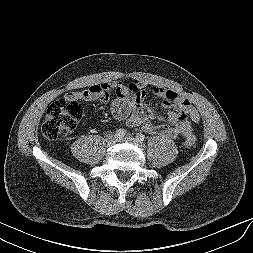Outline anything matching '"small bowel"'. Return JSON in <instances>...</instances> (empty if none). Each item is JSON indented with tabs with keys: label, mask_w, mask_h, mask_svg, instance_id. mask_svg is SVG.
Wrapping results in <instances>:
<instances>
[{
	"label": "small bowel",
	"mask_w": 253,
	"mask_h": 253,
	"mask_svg": "<svg viewBox=\"0 0 253 253\" xmlns=\"http://www.w3.org/2000/svg\"><path fill=\"white\" fill-rule=\"evenodd\" d=\"M111 91L115 92L110 106L115 120L129 127L140 126L149 134H163L170 138L179 135L188 137L192 135L193 124L200 120L198 111L187 98L160 86L153 87L152 93L163 100L162 106L167 113L164 117L157 116L147 105L144 82L125 85L120 81H106L85 90L72 91L65 97L73 101L105 102ZM155 119L161 123H153Z\"/></svg>",
	"instance_id": "c3829d8e"
}]
</instances>
